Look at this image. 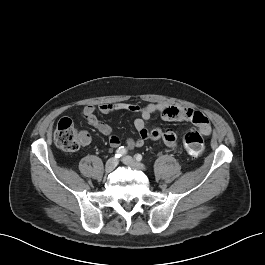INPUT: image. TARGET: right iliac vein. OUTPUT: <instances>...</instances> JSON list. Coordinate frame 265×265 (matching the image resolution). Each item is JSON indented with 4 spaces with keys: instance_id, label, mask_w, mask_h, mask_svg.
Instances as JSON below:
<instances>
[{
    "instance_id": "63e3f726",
    "label": "right iliac vein",
    "mask_w": 265,
    "mask_h": 265,
    "mask_svg": "<svg viewBox=\"0 0 265 265\" xmlns=\"http://www.w3.org/2000/svg\"><path fill=\"white\" fill-rule=\"evenodd\" d=\"M117 165H118L117 158H115V157L110 158L105 164L106 173L112 172Z\"/></svg>"
}]
</instances>
